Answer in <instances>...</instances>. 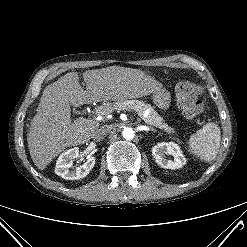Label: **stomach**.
<instances>
[{"instance_id": "1", "label": "stomach", "mask_w": 247, "mask_h": 247, "mask_svg": "<svg viewBox=\"0 0 247 247\" xmlns=\"http://www.w3.org/2000/svg\"><path fill=\"white\" fill-rule=\"evenodd\" d=\"M154 103L161 109H168L171 105L170 92L164 89H158L153 93Z\"/></svg>"}]
</instances>
